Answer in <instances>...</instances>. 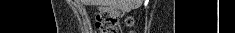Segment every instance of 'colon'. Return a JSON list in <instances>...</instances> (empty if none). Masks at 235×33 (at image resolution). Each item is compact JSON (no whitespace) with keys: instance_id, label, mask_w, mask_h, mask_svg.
<instances>
[{"instance_id":"colon-1","label":"colon","mask_w":235,"mask_h":33,"mask_svg":"<svg viewBox=\"0 0 235 33\" xmlns=\"http://www.w3.org/2000/svg\"><path fill=\"white\" fill-rule=\"evenodd\" d=\"M121 12L113 8H104L100 10L96 17V33H121L119 17ZM128 23L131 20L128 19Z\"/></svg>"}]
</instances>
